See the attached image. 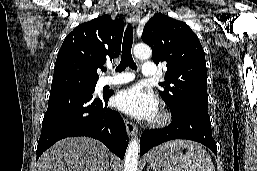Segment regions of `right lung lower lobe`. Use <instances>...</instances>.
Segmentation results:
<instances>
[{"instance_id":"right-lung-lower-lobe-1","label":"right lung lower lobe","mask_w":257,"mask_h":171,"mask_svg":"<svg viewBox=\"0 0 257 171\" xmlns=\"http://www.w3.org/2000/svg\"><path fill=\"white\" fill-rule=\"evenodd\" d=\"M92 93L86 90L50 93L36 160L58 140L75 136L97 139L123 159L128 145L124 121L117 111L107 106L111 94L94 98Z\"/></svg>"}]
</instances>
